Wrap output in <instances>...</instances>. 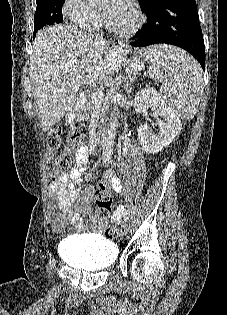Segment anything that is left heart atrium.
Listing matches in <instances>:
<instances>
[{
	"mask_svg": "<svg viewBox=\"0 0 227 315\" xmlns=\"http://www.w3.org/2000/svg\"><path fill=\"white\" fill-rule=\"evenodd\" d=\"M132 10V0H111L107 15L114 16L126 10Z\"/></svg>",
	"mask_w": 227,
	"mask_h": 315,
	"instance_id": "left-heart-atrium-1",
	"label": "left heart atrium"
}]
</instances>
